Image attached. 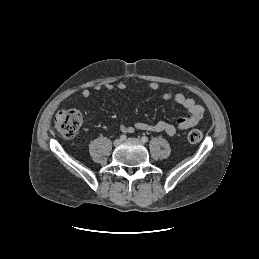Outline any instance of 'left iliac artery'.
<instances>
[{
  "label": "left iliac artery",
  "mask_w": 259,
  "mask_h": 259,
  "mask_svg": "<svg viewBox=\"0 0 259 259\" xmlns=\"http://www.w3.org/2000/svg\"><path fill=\"white\" fill-rule=\"evenodd\" d=\"M141 141H142L143 143H146V142H148V138H147L146 136H143V137L141 138Z\"/></svg>",
  "instance_id": "left-iliac-artery-1"
}]
</instances>
